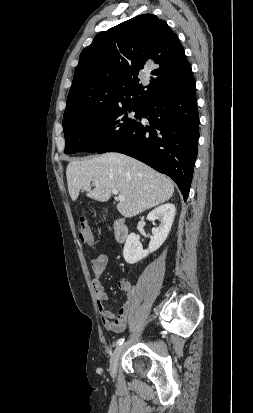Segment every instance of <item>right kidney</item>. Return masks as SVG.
Masks as SVG:
<instances>
[{
  "label": "right kidney",
  "instance_id": "obj_1",
  "mask_svg": "<svg viewBox=\"0 0 253 413\" xmlns=\"http://www.w3.org/2000/svg\"><path fill=\"white\" fill-rule=\"evenodd\" d=\"M176 208L174 204L167 203L152 210L147 219L151 222L160 220L161 224L157 228H153V237L149 243V247L143 250L139 237L135 233L128 235L123 249V257L129 264L137 263L148 254L156 251L166 240L175 217Z\"/></svg>",
  "mask_w": 253,
  "mask_h": 413
}]
</instances>
